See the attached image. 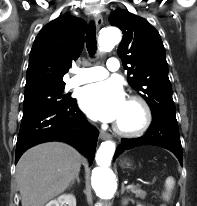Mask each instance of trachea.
<instances>
[{"mask_svg":"<svg viewBox=\"0 0 197 206\" xmlns=\"http://www.w3.org/2000/svg\"><path fill=\"white\" fill-rule=\"evenodd\" d=\"M96 28L94 24H90L86 33V47L91 56L96 52Z\"/></svg>","mask_w":197,"mask_h":206,"instance_id":"3493384b","label":"trachea"}]
</instances>
